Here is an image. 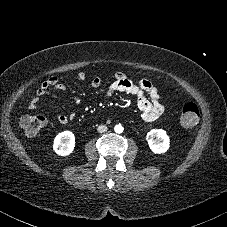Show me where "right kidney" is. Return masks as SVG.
Returning a JSON list of instances; mask_svg holds the SVG:
<instances>
[{"label":"right kidney","mask_w":227,"mask_h":227,"mask_svg":"<svg viewBox=\"0 0 227 227\" xmlns=\"http://www.w3.org/2000/svg\"><path fill=\"white\" fill-rule=\"evenodd\" d=\"M75 136L71 131L59 133L53 143V149L60 156H67L74 150Z\"/></svg>","instance_id":"ca27d5eb"}]
</instances>
